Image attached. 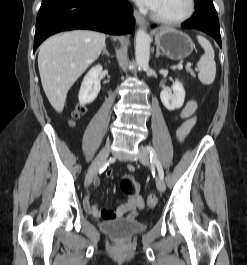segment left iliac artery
Instances as JSON below:
<instances>
[{
	"label": "left iliac artery",
	"mask_w": 247,
	"mask_h": 265,
	"mask_svg": "<svg viewBox=\"0 0 247 265\" xmlns=\"http://www.w3.org/2000/svg\"><path fill=\"white\" fill-rule=\"evenodd\" d=\"M146 150L148 151V153L150 155L151 163H153L156 166L157 170H158L159 177L161 179H163L164 178V171H163V168H162V165H161L160 161L157 158V155H156V152H155L154 148L149 145V146L146 147Z\"/></svg>",
	"instance_id": "1"
}]
</instances>
